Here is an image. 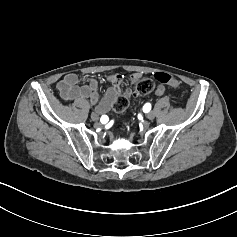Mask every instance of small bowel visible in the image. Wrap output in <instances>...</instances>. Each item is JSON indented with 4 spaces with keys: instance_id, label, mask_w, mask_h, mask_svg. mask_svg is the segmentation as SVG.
I'll use <instances>...</instances> for the list:
<instances>
[{
    "instance_id": "small-bowel-1",
    "label": "small bowel",
    "mask_w": 237,
    "mask_h": 237,
    "mask_svg": "<svg viewBox=\"0 0 237 237\" xmlns=\"http://www.w3.org/2000/svg\"><path fill=\"white\" fill-rule=\"evenodd\" d=\"M123 75L119 73H111L107 76V81L111 87L107 89L104 96L100 98L99 83L96 78H88L85 83L78 85V77L76 74L70 73L65 75L58 83L57 90L64 101H88L95 111L93 114L104 115L107 114L114 101L121 92V84ZM131 80L136 81L140 78V74L131 75ZM157 95H163L165 87L160 84L156 88ZM128 93V92H127Z\"/></svg>"
}]
</instances>
